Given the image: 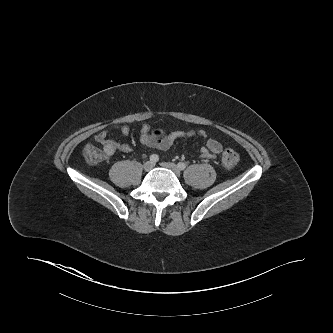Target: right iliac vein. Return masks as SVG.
Here are the masks:
<instances>
[{
    "mask_svg": "<svg viewBox=\"0 0 333 333\" xmlns=\"http://www.w3.org/2000/svg\"><path fill=\"white\" fill-rule=\"evenodd\" d=\"M154 167V163L147 161L144 163L143 168L145 171H150Z\"/></svg>",
    "mask_w": 333,
    "mask_h": 333,
    "instance_id": "1",
    "label": "right iliac vein"
}]
</instances>
